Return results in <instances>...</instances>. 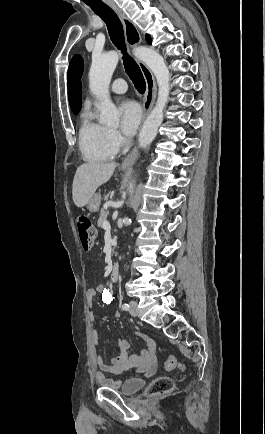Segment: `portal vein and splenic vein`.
<instances>
[{"label": "portal vein and splenic vein", "instance_id": "1", "mask_svg": "<svg viewBox=\"0 0 265 434\" xmlns=\"http://www.w3.org/2000/svg\"><path fill=\"white\" fill-rule=\"evenodd\" d=\"M105 208H108V206H105ZM111 226L109 222H104L103 224V230H110Z\"/></svg>", "mask_w": 265, "mask_h": 434}]
</instances>
